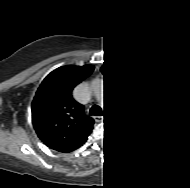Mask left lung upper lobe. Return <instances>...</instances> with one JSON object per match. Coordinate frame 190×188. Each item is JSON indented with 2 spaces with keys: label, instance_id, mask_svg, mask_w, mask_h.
<instances>
[{
  "label": "left lung upper lobe",
  "instance_id": "left-lung-upper-lobe-1",
  "mask_svg": "<svg viewBox=\"0 0 190 188\" xmlns=\"http://www.w3.org/2000/svg\"><path fill=\"white\" fill-rule=\"evenodd\" d=\"M102 73L116 89L127 124L150 130L165 126L167 95L151 72L141 65L123 62L103 66Z\"/></svg>",
  "mask_w": 190,
  "mask_h": 188
}]
</instances>
